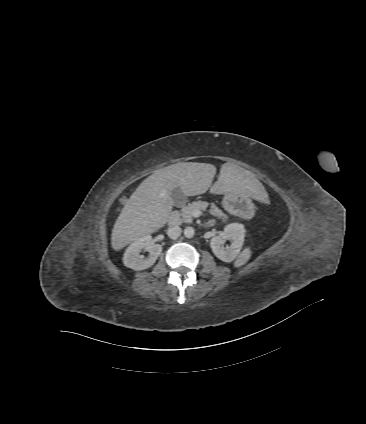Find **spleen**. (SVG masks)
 <instances>
[{"label":"spleen","mask_w":366,"mask_h":424,"mask_svg":"<svg viewBox=\"0 0 366 424\" xmlns=\"http://www.w3.org/2000/svg\"><path fill=\"white\" fill-rule=\"evenodd\" d=\"M251 256V250L250 248H245L242 253L238 256L235 266L240 267L248 262Z\"/></svg>","instance_id":"1"}]
</instances>
